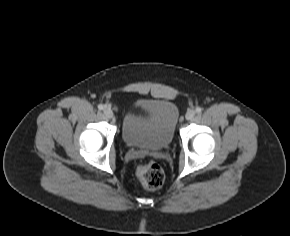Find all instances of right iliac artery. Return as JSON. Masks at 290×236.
I'll return each instance as SVG.
<instances>
[{"label":"right iliac artery","mask_w":290,"mask_h":236,"mask_svg":"<svg viewBox=\"0 0 290 236\" xmlns=\"http://www.w3.org/2000/svg\"><path fill=\"white\" fill-rule=\"evenodd\" d=\"M103 108H104V106H103L102 104H99V105H98V109H99V110H103Z\"/></svg>","instance_id":"1"}]
</instances>
